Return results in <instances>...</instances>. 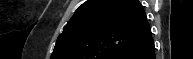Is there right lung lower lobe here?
I'll return each instance as SVG.
<instances>
[{
	"mask_svg": "<svg viewBox=\"0 0 193 59\" xmlns=\"http://www.w3.org/2000/svg\"><path fill=\"white\" fill-rule=\"evenodd\" d=\"M125 59H155L154 41L151 38L146 44Z\"/></svg>",
	"mask_w": 193,
	"mask_h": 59,
	"instance_id": "right-lung-lower-lobe-1",
	"label": "right lung lower lobe"
}]
</instances>
